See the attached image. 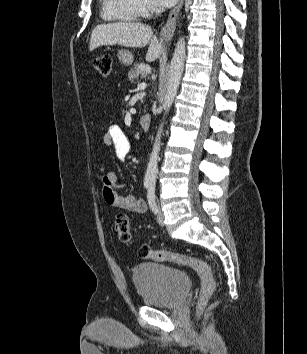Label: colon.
Masks as SVG:
<instances>
[{
    "label": "colon",
    "instance_id": "1",
    "mask_svg": "<svg viewBox=\"0 0 307 354\" xmlns=\"http://www.w3.org/2000/svg\"><path fill=\"white\" fill-rule=\"evenodd\" d=\"M94 67L101 75L107 76L111 72L112 58L107 54L100 55L94 59ZM114 226L120 241L128 243L131 239L128 217L123 213L118 214L115 218ZM139 254L145 259L172 262L192 269L199 276L201 282L198 296V304L200 306L205 304L213 295L215 280L212 270L207 263L179 253L154 250L148 245H143L139 250Z\"/></svg>",
    "mask_w": 307,
    "mask_h": 354
}]
</instances>
